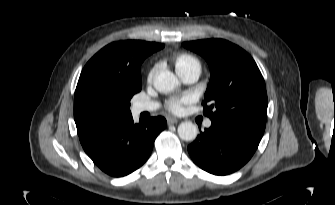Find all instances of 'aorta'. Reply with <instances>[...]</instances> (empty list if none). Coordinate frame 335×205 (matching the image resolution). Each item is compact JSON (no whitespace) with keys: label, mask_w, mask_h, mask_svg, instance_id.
I'll return each mask as SVG.
<instances>
[{"label":"aorta","mask_w":335,"mask_h":205,"mask_svg":"<svg viewBox=\"0 0 335 205\" xmlns=\"http://www.w3.org/2000/svg\"><path fill=\"white\" fill-rule=\"evenodd\" d=\"M153 85L157 91L166 93L174 90L179 85V81L172 72L162 71L154 77ZM177 131L179 137L185 141H193L198 134V129L192 122H182Z\"/></svg>","instance_id":"762f6f07"}]
</instances>
